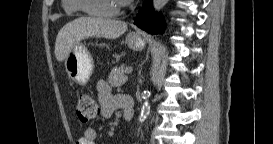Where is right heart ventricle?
<instances>
[{
	"instance_id": "right-heart-ventricle-1",
	"label": "right heart ventricle",
	"mask_w": 273,
	"mask_h": 144,
	"mask_svg": "<svg viewBox=\"0 0 273 144\" xmlns=\"http://www.w3.org/2000/svg\"><path fill=\"white\" fill-rule=\"evenodd\" d=\"M62 6L64 12L68 14H76L79 11V8L77 7L75 0H63Z\"/></svg>"
}]
</instances>
